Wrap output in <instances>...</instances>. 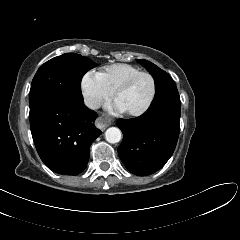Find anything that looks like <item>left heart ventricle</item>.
<instances>
[{"mask_svg":"<svg viewBox=\"0 0 240 240\" xmlns=\"http://www.w3.org/2000/svg\"><path fill=\"white\" fill-rule=\"evenodd\" d=\"M152 94V81L149 76L139 77L132 86L121 93L118 99L124 104L127 111H136L143 108Z\"/></svg>","mask_w":240,"mask_h":240,"instance_id":"obj_1","label":"left heart ventricle"}]
</instances>
